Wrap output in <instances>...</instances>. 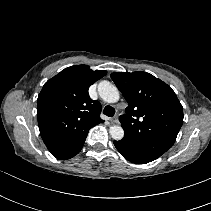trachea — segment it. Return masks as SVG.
<instances>
[{"mask_svg": "<svg viewBox=\"0 0 211 211\" xmlns=\"http://www.w3.org/2000/svg\"><path fill=\"white\" fill-rule=\"evenodd\" d=\"M103 113L108 117H112L115 114V109L108 105L104 108Z\"/></svg>", "mask_w": 211, "mask_h": 211, "instance_id": "trachea-1", "label": "trachea"}]
</instances>
